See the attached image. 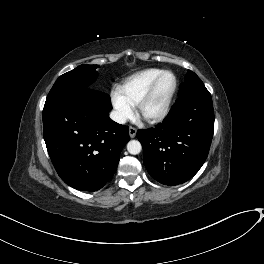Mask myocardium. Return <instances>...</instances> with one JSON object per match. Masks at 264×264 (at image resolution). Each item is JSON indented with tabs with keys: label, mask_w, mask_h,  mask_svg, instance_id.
I'll list each match as a JSON object with an SVG mask.
<instances>
[{
	"label": "myocardium",
	"mask_w": 264,
	"mask_h": 264,
	"mask_svg": "<svg viewBox=\"0 0 264 264\" xmlns=\"http://www.w3.org/2000/svg\"><path fill=\"white\" fill-rule=\"evenodd\" d=\"M170 75L173 79V86L171 91L169 92L162 108L152 115H142L141 110L145 106V104L150 100V98L153 96L160 80L166 76ZM178 87V81L174 73L170 71H162L149 85V87L146 89V91L143 93V95L139 98V100L136 103V114L143 119L147 123H157L161 121L170 111L174 96L176 94Z\"/></svg>",
	"instance_id": "obj_1"
}]
</instances>
